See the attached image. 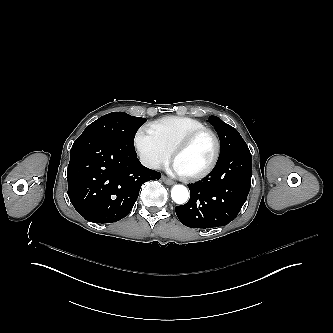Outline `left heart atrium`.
Here are the masks:
<instances>
[{"label":"left heart atrium","mask_w":333,"mask_h":333,"mask_svg":"<svg viewBox=\"0 0 333 333\" xmlns=\"http://www.w3.org/2000/svg\"><path fill=\"white\" fill-rule=\"evenodd\" d=\"M167 171L170 175L175 176V177L184 176V173L173 162L169 163V165L167 167Z\"/></svg>","instance_id":"1"}]
</instances>
